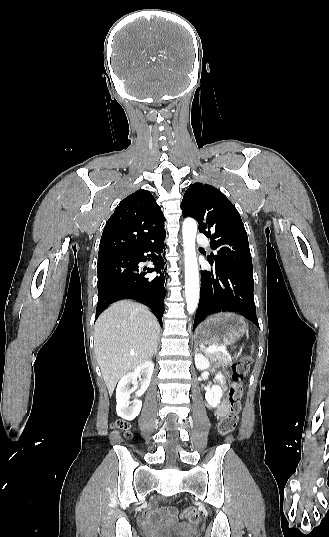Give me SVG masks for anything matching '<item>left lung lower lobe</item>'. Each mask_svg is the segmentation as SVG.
Segmentation results:
<instances>
[{
  "mask_svg": "<svg viewBox=\"0 0 329 537\" xmlns=\"http://www.w3.org/2000/svg\"><path fill=\"white\" fill-rule=\"evenodd\" d=\"M253 290V273L215 263L211 272L201 274L200 300L193 329L205 316L218 311L240 313L259 326Z\"/></svg>",
  "mask_w": 329,
  "mask_h": 537,
  "instance_id": "0a47b994",
  "label": "left lung lower lobe"
}]
</instances>
